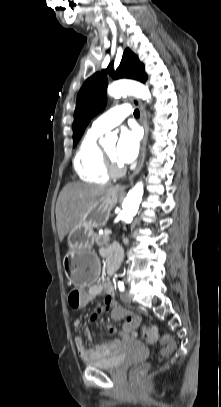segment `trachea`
<instances>
[{
    "label": "trachea",
    "mask_w": 221,
    "mask_h": 407,
    "mask_svg": "<svg viewBox=\"0 0 221 407\" xmlns=\"http://www.w3.org/2000/svg\"><path fill=\"white\" fill-rule=\"evenodd\" d=\"M134 116H135L136 118H138V117L140 116V112H139L138 109H136V110L134 111Z\"/></svg>",
    "instance_id": "3493384b"
}]
</instances>
